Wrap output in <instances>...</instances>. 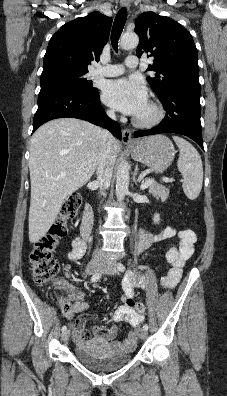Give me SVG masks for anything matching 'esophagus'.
<instances>
[{"label": "esophagus", "mask_w": 227, "mask_h": 396, "mask_svg": "<svg viewBox=\"0 0 227 396\" xmlns=\"http://www.w3.org/2000/svg\"><path fill=\"white\" fill-rule=\"evenodd\" d=\"M121 6L128 9L130 7V0H121ZM122 142L125 145H130L133 143L131 131L129 129H124L122 131Z\"/></svg>", "instance_id": "34e87169"}]
</instances>
